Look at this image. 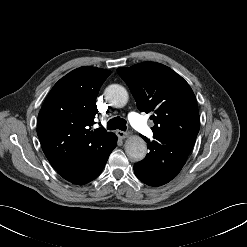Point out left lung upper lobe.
Wrapping results in <instances>:
<instances>
[{
	"label": "left lung upper lobe",
	"mask_w": 247,
	"mask_h": 247,
	"mask_svg": "<svg viewBox=\"0 0 247 247\" xmlns=\"http://www.w3.org/2000/svg\"><path fill=\"white\" fill-rule=\"evenodd\" d=\"M117 71L129 86L138 109L152 114L153 141L195 144L200 127L197 101L180 75L155 62H143Z\"/></svg>",
	"instance_id": "left-lung-upper-lobe-1"
}]
</instances>
